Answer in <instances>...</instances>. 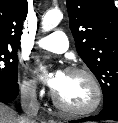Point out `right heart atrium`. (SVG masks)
Wrapping results in <instances>:
<instances>
[{"instance_id": "obj_1", "label": "right heart atrium", "mask_w": 118, "mask_h": 123, "mask_svg": "<svg viewBox=\"0 0 118 123\" xmlns=\"http://www.w3.org/2000/svg\"><path fill=\"white\" fill-rule=\"evenodd\" d=\"M21 91L28 98H35L38 95V83L35 79L25 78L21 84Z\"/></svg>"}]
</instances>
